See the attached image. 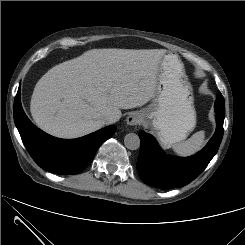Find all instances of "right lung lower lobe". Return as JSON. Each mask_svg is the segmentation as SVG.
Masks as SVG:
<instances>
[{"instance_id":"right-lung-lower-lobe-1","label":"right lung lower lobe","mask_w":245,"mask_h":245,"mask_svg":"<svg viewBox=\"0 0 245 245\" xmlns=\"http://www.w3.org/2000/svg\"><path fill=\"white\" fill-rule=\"evenodd\" d=\"M14 120L21 139L34 161L43 169L60 175H73L92 162L97 149L116 131L108 126L77 139H59L37 128L21 105L20 88L14 102Z\"/></svg>"}]
</instances>
